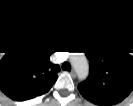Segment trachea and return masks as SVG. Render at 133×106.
<instances>
[{
	"label": "trachea",
	"mask_w": 133,
	"mask_h": 106,
	"mask_svg": "<svg viewBox=\"0 0 133 106\" xmlns=\"http://www.w3.org/2000/svg\"><path fill=\"white\" fill-rule=\"evenodd\" d=\"M62 67H63V69H65V70H71L69 64H64Z\"/></svg>",
	"instance_id": "3493384b"
}]
</instances>
